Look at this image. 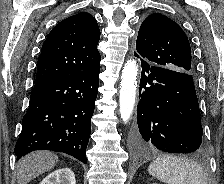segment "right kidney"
<instances>
[{"label": "right kidney", "mask_w": 224, "mask_h": 184, "mask_svg": "<svg viewBox=\"0 0 224 184\" xmlns=\"http://www.w3.org/2000/svg\"><path fill=\"white\" fill-rule=\"evenodd\" d=\"M40 184H76V180L71 169L61 168L48 174Z\"/></svg>", "instance_id": "ca27d5eb"}]
</instances>
